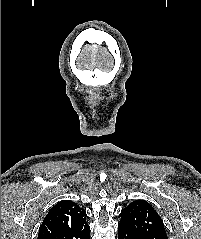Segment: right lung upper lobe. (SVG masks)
Wrapping results in <instances>:
<instances>
[{"label":"right lung upper lobe","instance_id":"right-lung-upper-lobe-1","mask_svg":"<svg viewBox=\"0 0 201 239\" xmlns=\"http://www.w3.org/2000/svg\"><path fill=\"white\" fill-rule=\"evenodd\" d=\"M86 217V212L74 202L60 201L45 217L38 239H88L90 227Z\"/></svg>","mask_w":201,"mask_h":239}]
</instances>
